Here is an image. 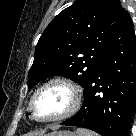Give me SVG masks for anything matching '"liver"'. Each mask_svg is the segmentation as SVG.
<instances>
[{"instance_id":"1","label":"liver","mask_w":136,"mask_h":136,"mask_svg":"<svg viewBox=\"0 0 136 136\" xmlns=\"http://www.w3.org/2000/svg\"><path fill=\"white\" fill-rule=\"evenodd\" d=\"M52 134V133H51ZM35 136H46L45 135V132L42 131V132H38V133H35ZM48 136V135H47Z\"/></svg>"}]
</instances>
